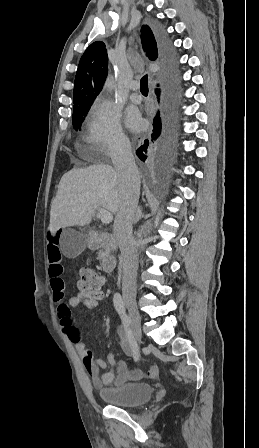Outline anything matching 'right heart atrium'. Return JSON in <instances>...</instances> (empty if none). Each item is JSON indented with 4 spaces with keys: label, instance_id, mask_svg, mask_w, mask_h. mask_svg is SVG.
I'll return each instance as SVG.
<instances>
[{
    "label": "right heart atrium",
    "instance_id": "d8ad5b80",
    "mask_svg": "<svg viewBox=\"0 0 259 448\" xmlns=\"http://www.w3.org/2000/svg\"><path fill=\"white\" fill-rule=\"evenodd\" d=\"M85 141L99 157H114L127 146L118 113L104 99L96 98L90 108Z\"/></svg>",
    "mask_w": 259,
    "mask_h": 448
}]
</instances>
